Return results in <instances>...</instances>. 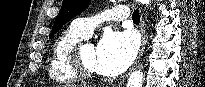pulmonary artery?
I'll use <instances>...</instances> for the list:
<instances>
[{"label":"pulmonary artery","instance_id":"pulmonary-artery-1","mask_svg":"<svg viewBox=\"0 0 205 87\" xmlns=\"http://www.w3.org/2000/svg\"><path fill=\"white\" fill-rule=\"evenodd\" d=\"M129 17L128 7L125 5L109 8L101 14L76 19L72 22L71 27L84 37H89L94 30L102 22H115L127 19Z\"/></svg>","mask_w":205,"mask_h":87}]
</instances>
